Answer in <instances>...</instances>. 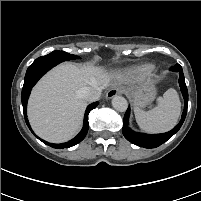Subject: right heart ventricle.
<instances>
[{"mask_svg": "<svg viewBox=\"0 0 201 201\" xmlns=\"http://www.w3.org/2000/svg\"><path fill=\"white\" fill-rule=\"evenodd\" d=\"M153 69V66L150 64H145L142 66H139L137 68H134L127 72L128 75H142L147 74Z\"/></svg>", "mask_w": 201, "mask_h": 201, "instance_id": "e07e8e85", "label": "right heart ventricle"}]
</instances>
